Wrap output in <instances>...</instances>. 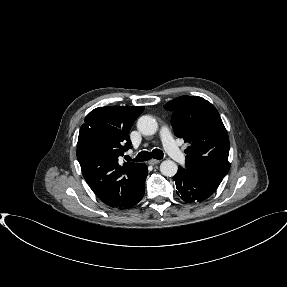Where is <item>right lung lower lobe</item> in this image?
<instances>
[{"mask_svg": "<svg viewBox=\"0 0 287 287\" xmlns=\"http://www.w3.org/2000/svg\"><path fill=\"white\" fill-rule=\"evenodd\" d=\"M148 174V169L145 164L141 167V173L136 183L133 185L131 190L122 200L116 202L110 206L117 209H127L136 205L144 196L145 191V179Z\"/></svg>", "mask_w": 287, "mask_h": 287, "instance_id": "obj_1", "label": "right lung lower lobe"}]
</instances>
